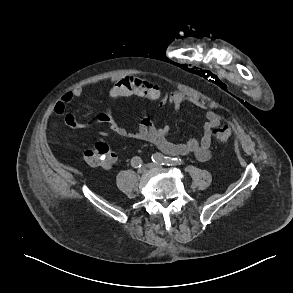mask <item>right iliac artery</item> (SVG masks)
<instances>
[{
	"label": "right iliac artery",
	"instance_id": "right-iliac-artery-1",
	"mask_svg": "<svg viewBox=\"0 0 293 293\" xmlns=\"http://www.w3.org/2000/svg\"><path fill=\"white\" fill-rule=\"evenodd\" d=\"M143 162L141 160L140 157H133L132 160H131V165L134 167V168H140L142 166Z\"/></svg>",
	"mask_w": 293,
	"mask_h": 293
}]
</instances>
